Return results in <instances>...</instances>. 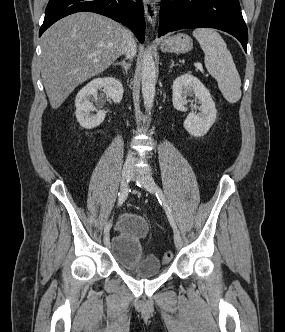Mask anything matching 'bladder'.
Returning <instances> with one entry per match:
<instances>
[{"label":"bladder","instance_id":"1","mask_svg":"<svg viewBox=\"0 0 285 332\" xmlns=\"http://www.w3.org/2000/svg\"><path fill=\"white\" fill-rule=\"evenodd\" d=\"M148 222L139 214L127 213L118 224V231L110 242L116 262L135 275L147 278L160 273L161 263L144 252L143 240L149 234Z\"/></svg>","mask_w":285,"mask_h":332}]
</instances>
